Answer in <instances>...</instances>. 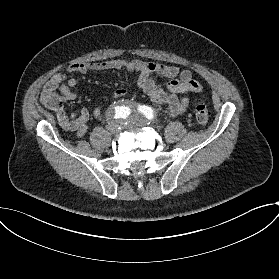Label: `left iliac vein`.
Wrapping results in <instances>:
<instances>
[{
	"instance_id": "1",
	"label": "left iliac vein",
	"mask_w": 279,
	"mask_h": 279,
	"mask_svg": "<svg viewBox=\"0 0 279 279\" xmlns=\"http://www.w3.org/2000/svg\"><path fill=\"white\" fill-rule=\"evenodd\" d=\"M128 119H129V121H131V122L133 121L134 124H135L136 126L140 127V128L143 127V125H144L142 121H140V120L137 119V118L135 119V118H134V115H133V116H132V115L129 116Z\"/></svg>"
}]
</instances>
